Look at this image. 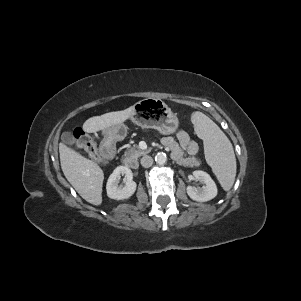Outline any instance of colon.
I'll return each mask as SVG.
<instances>
[{"instance_id": "obj_1", "label": "colon", "mask_w": 301, "mask_h": 301, "mask_svg": "<svg viewBox=\"0 0 301 301\" xmlns=\"http://www.w3.org/2000/svg\"><path fill=\"white\" fill-rule=\"evenodd\" d=\"M72 136L75 145L82 148L90 159L100 163L105 162L100 159L95 142L85 131L81 128H75L72 132Z\"/></svg>"}]
</instances>
